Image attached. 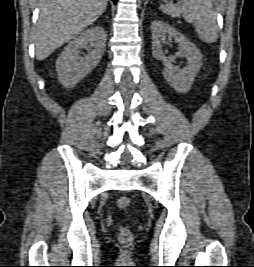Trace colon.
Wrapping results in <instances>:
<instances>
[{
    "instance_id": "colon-1",
    "label": "colon",
    "mask_w": 254,
    "mask_h": 267,
    "mask_svg": "<svg viewBox=\"0 0 254 267\" xmlns=\"http://www.w3.org/2000/svg\"><path fill=\"white\" fill-rule=\"evenodd\" d=\"M131 204V199L128 196H122L117 200V206L120 209H126ZM118 239L122 245H130L133 242V232L125 226H121L118 232Z\"/></svg>"
}]
</instances>
